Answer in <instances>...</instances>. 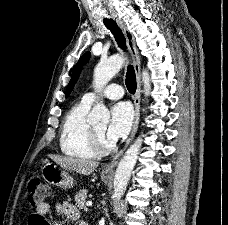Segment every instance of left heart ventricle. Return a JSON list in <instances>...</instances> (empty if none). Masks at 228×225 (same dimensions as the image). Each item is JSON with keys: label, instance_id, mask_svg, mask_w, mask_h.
<instances>
[{"label": "left heart ventricle", "instance_id": "b2bd125f", "mask_svg": "<svg viewBox=\"0 0 228 225\" xmlns=\"http://www.w3.org/2000/svg\"><path fill=\"white\" fill-rule=\"evenodd\" d=\"M97 131H99L100 133H103L105 132V128H106V125H97V126H94Z\"/></svg>", "mask_w": 228, "mask_h": 225}]
</instances>
